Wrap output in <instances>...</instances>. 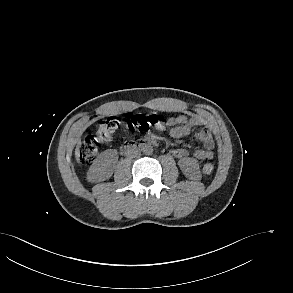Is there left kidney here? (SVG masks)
Instances as JSON below:
<instances>
[{
  "label": "left kidney",
  "mask_w": 293,
  "mask_h": 293,
  "mask_svg": "<svg viewBox=\"0 0 293 293\" xmlns=\"http://www.w3.org/2000/svg\"><path fill=\"white\" fill-rule=\"evenodd\" d=\"M178 165L184 175L190 179H200L201 172L199 162L194 158H183L178 162Z\"/></svg>",
  "instance_id": "left-kidney-1"
}]
</instances>
